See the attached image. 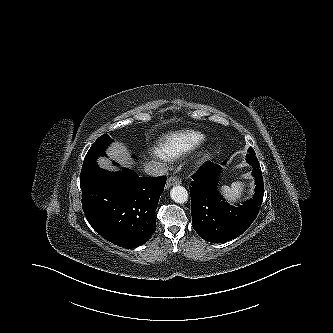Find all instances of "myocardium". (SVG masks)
Listing matches in <instances>:
<instances>
[{"instance_id":"obj_1","label":"myocardium","mask_w":333,"mask_h":333,"mask_svg":"<svg viewBox=\"0 0 333 333\" xmlns=\"http://www.w3.org/2000/svg\"><path fill=\"white\" fill-rule=\"evenodd\" d=\"M206 159H207L206 152H202L201 154L198 155L197 164L203 163Z\"/></svg>"}]
</instances>
